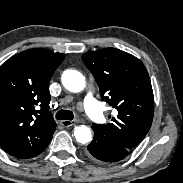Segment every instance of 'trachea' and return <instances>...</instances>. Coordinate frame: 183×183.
Segmentation results:
<instances>
[{"label": "trachea", "mask_w": 183, "mask_h": 183, "mask_svg": "<svg viewBox=\"0 0 183 183\" xmlns=\"http://www.w3.org/2000/svg\"><path fill=\"white\" fill-rule=\"evenodd\" d=\"M73 118H74V114L70 110L62 109L56 113L57 120H73Z\"/></svg>", "instance_id": "trachea-1"}]
</instances>
